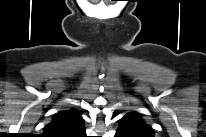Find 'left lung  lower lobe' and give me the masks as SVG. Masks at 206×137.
<instances>
[{
  "mask_svg": "<svg viewBox=\"0 0 206 137\" xmlns=\"http://www.w3.org/2000/svg\"><path fill=\"white\" fill-rule=\"evenodd\" d=\"M116 136H117V137H133V136L131 135V133L124 132V131H119V130H117Z\"/></svg>",
  "mask_w": 206,
  "mask_h": 137,
  "instance_id": "obj_1",
  "label": "left lung lower lobe"
}]
</instances>
